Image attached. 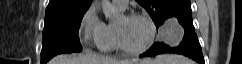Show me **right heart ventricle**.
<instances>
[{
	"instance_id": "1",
	"label": "right heart ventricle",
	"mask_w": 242,
	"mask_h": 64,
	"mask_svg": "<svg viewBox=\"0 0 242 64\" xmlns=\"http://www.w3.org/2000/svg\"><path fill=\"white\" fill-rule=\"evenodd\" d=\"M108 31H109V38L107 40H104L98 44V46L102 50H110L116 47L117 41H116V25L114 23H109L107 25Z\"/></svg>"
}]
</instances>
